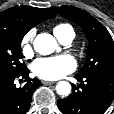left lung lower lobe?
<instances>
[{
  "label": "left lung lower lobe",
  "instance_id": "0a47b994",
  "mask_svg": "<svg viewBox=\"0 0 114 114\" xmlns=\"http://www.w3.org/2000/svg\"><path fill=\"white\" fill-rule=\"evenodd\" d=\"M81 84L72 85V94L58 100L63 114H103L114 99V75H76Z\"/></svg>",
  "mask_w": 114,
  "mask_h": 114
}]
</instances>
